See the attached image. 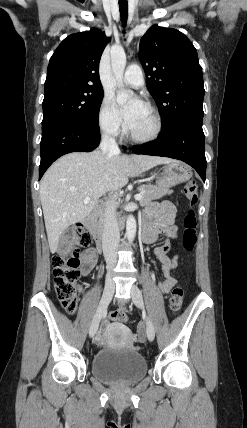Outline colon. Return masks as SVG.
Returning a JSON list of instances; mask_svg holds the SVG:
<instances>
[{"label":"colon","mask_w":247,"mask_h":428,"mask_svg":"<svg viewBox=\"0 0 247 428\" xmlns=\"http://www.w3.org/2000/svg\"><path fill=\"white\" fill-rule=\"evenodd\" d=\"M184 193L191 206L198 203V190L194 182H189L184 187ZM197 219L193 209H190L184 219V232L182 245L184 250L190 252L196 245ZM91 243L89 232L81 224L71 228L68 241L52 258L54 286L57 298L61 306L68 312L74 313L77 308V297L80 291L78 280L80 278V260L78 252L80 247H87ZM184 290L181 285H176L170 294L169 306L172 313H177L182 306ZM134 314L129 309L114 311L110 318L117 324L126 323L127 317Z\"/></svg>","instance_id":"5ec220e1"}]
</instances>
